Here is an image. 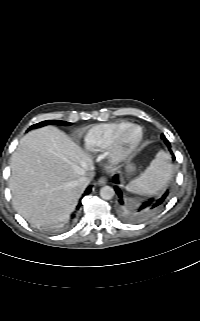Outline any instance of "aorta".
Returning <instances> with one entry per match:
<instances>
[{
    "label": "aorta",
    "mask_w": 200,
    "mask_h": 321,
    "mask_svg": "<svg viewBox=\"0 0 200 321\" xmlns=\"http://www.w3.org/2000/svg\"><path fill=\"white\" fill-rule=\"evenodd\" d=\"M115 195V191L110 186H104L100 189V196L105 200H110Z\"/></svg>",
    "instance_id": "1"
}]
</instances>
